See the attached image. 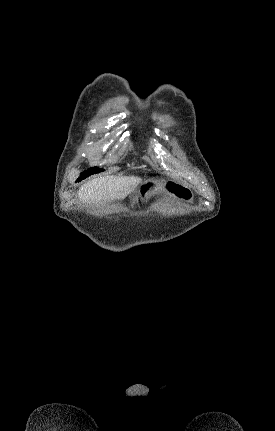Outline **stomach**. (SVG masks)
Segmentation results:
<instances>
[{"label": "stomach", "instance_id": "obj_1", "mask_svg": "<svg viewBox=\"0 0 275 431\" xmlns=\"http://www.w3.org/2000/svg\"><path fill=\"white\" fill-rule=\"evenodd\" d=\"M159 191L186 202H192L194 198L193 192L186 185L169 179L144 181L137 190L138 195L145 199Z\"/></svg>", "mask_w": 275, "mask_h": 431}]
</instances>
